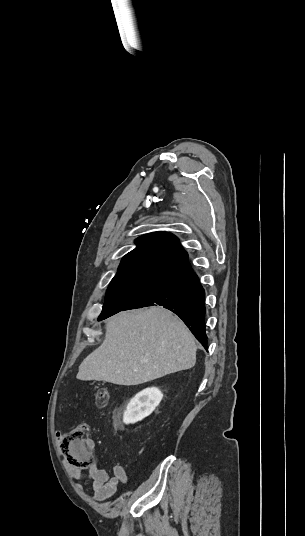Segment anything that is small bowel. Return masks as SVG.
Listing matches in <instances>:
<instances>
[{
  "mask_svg": "<svg viewBox=\"0 0 305 536\" xmlns=\"http://www.w3.org/2000/svg\"><path fill=\"white\" fill-rule=\"evenodd\" d=\"M53 437L57 439V444H61L60 434L55 432ZM93 446V442L89 441ZM68 472L71 476L83 480L85 478L91 481L94 498L97 501H105L114 496L120 483L127 482V475L123 467L119 464L114 465L112 474H109L97 466L95 461H91L88 465V472L84 474L82 468L68 464ZM81 486V484L79 485Z\"/></svg>",
  "mask_w": 305,
  "mask_h": 536,
  "instance_id": "small-bowel-1",
  "label": "small bowel"
}]
</instances>
